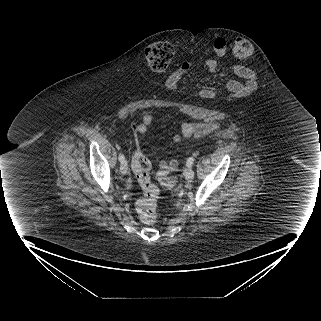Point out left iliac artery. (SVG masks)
Segmentation results:
<instances>
[{
    "label": "left iliac artery",
    "instance_id": "left-iliac-artery-1",
    "mask_svg": "<svg viewBox=\"0 0 321 321\" xmlns=\"http://www.w3.org/2000/svg\"><path fill=\"white\" fill-rule=\"evenodd\" d=\"M193 162H194V158H193V157L188 158V159H187V166H188V167H191V165L193 164Z\"/></svg>",
    "mask_w": 321,
    "mask_h": 321
}]
</instances>
